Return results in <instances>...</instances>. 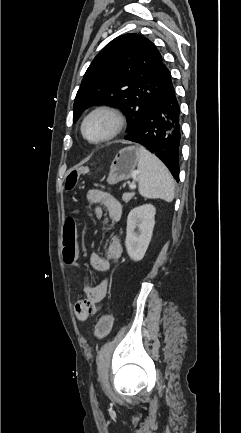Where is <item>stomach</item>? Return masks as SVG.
I'll return each instance as SVG.
<instances>
[{
  "label": "stomach",
  "mask_w": 241,
  "mask_h": 433,
  "mask_svg": "<svg viewBox=\"0 0 241 433\" xmlns=\"http://www.w3.org/2000/svg\"><path fill=\"white\" fill-rule=\"evenodd\" d=\"M139 161V151L135 146L120 150L111 163L107 183L117 184L132 177Z\"/></svg>",
  "instance_id": "stomach-1"
}]
</instances>
